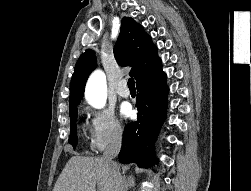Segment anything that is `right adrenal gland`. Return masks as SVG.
Listing matches in <instances>:
<instances>
[{"label": "right adrenal gland", "mask_w": 251, "mask_h": 191, "mask_svg": "<svg viewBox=\"0 0 251 191\" xmlns=\"http://www.w3.org/2000/svg\"><path fill=\"white\" fill-rule=\"evenodd\" d=\"M124 185H125V189H129V187H134L135 179L133 175H128V177H126Z\"/></svg>", "instance_id": "obj_1"}]
</instances>
